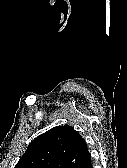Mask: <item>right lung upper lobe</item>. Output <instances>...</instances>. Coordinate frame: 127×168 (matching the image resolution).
<instances>
[{"label": "right lung upper lobe", "instance_id": "right-lung-upper-lobe-1", "mask_svg": "<svg viewBox=\"0 0 127 168\" xmlns=\"http://www.w3.org/2000/svg\"><path fill=\"white\" fill-rule=\"evenodd\" d=\"M90 159L86 141L71 126H57L35 138L15 168H76Z\"/></svg>", "mask_w": 127, "mask_h": 168}]
</instances>
